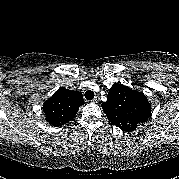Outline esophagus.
I'll return each instance as SVG.
<instances>
[{"instance_id": "1", "label": "esophagus", "mask_w": 179, "mask_h": 179, "mask_svg": "<svg viewBox=\"0 0 179 179\" xmlns=\"http://www.w3.org/2000/svg\"><path fill=\"white\" fill-rule=\"evenodd\" d=\"M100 101V97L99 96H96L94 99H93V102L95 103H98Z\"/></svg>"}]
</instances>
